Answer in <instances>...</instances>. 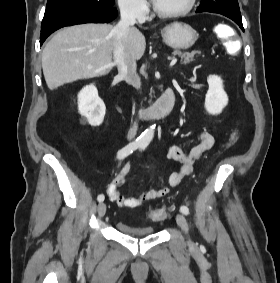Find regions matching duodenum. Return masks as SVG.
Segmentation results:
<instances>
[{"mask_svg":"<svg viewBox=\"0 0 280 283\" xmlns=\"http://www.w3.org/2000/svg\"><path fill=\"white\" fill-rule=\"evenodd\" d=\"M175 93L173 89H167L158 101L148 108L141 110V116L146 120H160L167 117L173 110Z\"/></svg>","mask_w":280,"mask_h":283,"instance_id":"1","label":"duodenum"}]
</instances>
